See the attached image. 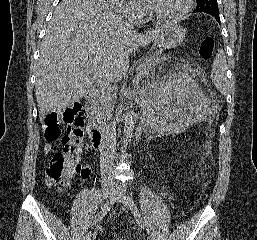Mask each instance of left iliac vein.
<instances>
[{"mask_svg":"<svg viewBox=\"0 0 257 240\" xmlns=\"http://www.w3.org/2000/svg\"><path fill=\"white\" fill-rule=\"evenodd\" d=\"M120 190H121V187L118 184H116L114 191H120ZM118 199H120L123 209L129 208L128 200L126 198L120 196L118 197Z\"/></svg>","mask_w":257,"mask_h":240,"instance_id":"4c4485c4","label":"left iliac vein"}]
</instances>
